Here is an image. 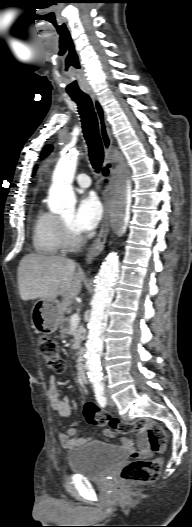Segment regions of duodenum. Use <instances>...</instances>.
<instances>
[{"label":"duodenum","instance_id":"1","mask_svg":"<svg viewBox=\"0 0 192 527\" xmlns=\"http://www.w3.org/2000/svg\"><path fill=\"white\" fill-rule=\"evenodd\" d=\"M77 374L83 382H87V375L85 371V365L83 362L77 364Z\"/></svg>","mask_w":192,"mask_h":527}]
</instances>
